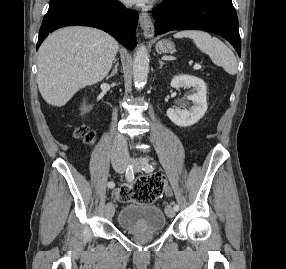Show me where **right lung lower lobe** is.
Listing matches in <instances>:
<instances>
[{
	"mask_svg": "<svg viewBox=\"0 0 286 269\" xmlns=\"http://www.w3.org/2000/svg\"><path fill=\"white\" fill-rule=\"evenodd\" d=\"M138 16L135 11L127 10L119 1L106 6L96 0H69L49 7L37 42L41 45L49 33L71 25L91 26L106 31L129 49L137 45L135 29Z\"/></svg>",
	"mask_w": 286,
	"mask_h": 269,
	"instance_id": "right-lung-lower-lobe-1",
	"label": "right lung lower lobe"
}]
</instances>
